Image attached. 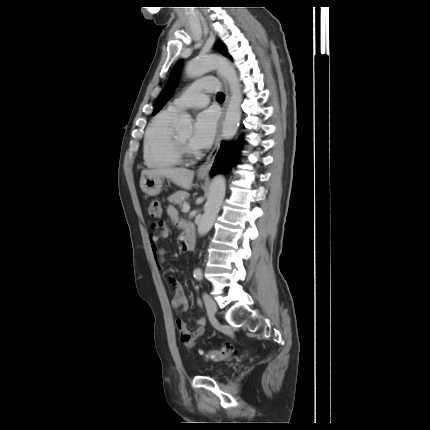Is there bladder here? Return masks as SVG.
<instances>
[{
    "label": "bladder",
    "instance_id": "obj_1",
    "mask_svg": "<svg viewBox=\"0 0 430 430\" xmlns=\"http://www.w3.org/2000/svg\"><path fill=\"white\" fill-rule=\"evenodd\" d=\"M224 374V371H218L215 376H222Z\"/></svg>",
    "mask_w": 430,
    "mask_h": 430
}]
</instances>
